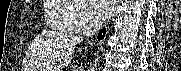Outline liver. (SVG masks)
Segmentation results:
<instances>
[{"label": "liver", "instance_id": "obj_1", "mask_svg": "<svg viewBox=\"0 0 181 71\" xmlns=\"http://www.w3.org/2000/svg\"><path fill=\"white\" fill-rule=\"evenodd\" d=\"M78 41L66 33H41L32 42L22 71H60L71 62Z\"/></svg>", "mask_w": 181, "mask_h": 71}]
</instances>
